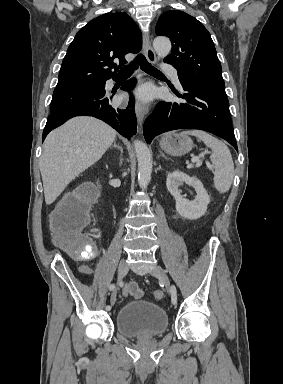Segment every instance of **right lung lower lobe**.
I'll use <instances>...</instances> for the list:
<instances>
[{
	"label": "right lung lower lobe",
	"instance_id": "right-lung-lower-lobe-1",
	"mask_svg": "<svg viewBox=\"0 0 283 384\" xmlns=\"http://www.w3.org/2000/svg\"><path fill=\"white\" fill-rule=\"evenodd\" d=\"M136 80L127 81L123 90L133 88ZM105 96V84L94 95L62 108L51 110L43 131V139L47 134L62 125L66 120L74 116H93L108 123L124 137H130L136 133L137 120L134 112L135 101L130 98L126 109L113 108Z\"/></svg>",
	"mask_w": 283,
	"mask_h": 384
}]
</instances>
